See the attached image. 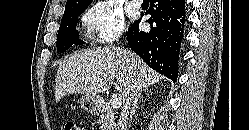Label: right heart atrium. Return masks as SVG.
<instances>
[{"label":"right heart atrium","mask_w":249,"mask_h":130,"mask_svg":"<svg viewBox=\"0 0 249 130\" xmlns=\"http://www.w3.org/2000/svg\"><path fill=\"white\" fill-rule=\"evenodd\" d=\"M82 20L88 27L92 39L99 44L117 40L125 30L122 12L110 2H96L83 14Z\"/></svg>","instance_id":"1"}]
</instances>
